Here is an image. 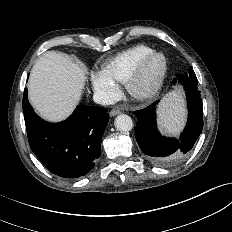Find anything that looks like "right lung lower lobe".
Returning a JSON list of instances; mask_svg holds the SVG:
<instances>
[{
	"mask_svg": "<svg viewBox=\"0 0 232 232\" xmlns=\"http://www.w3.org/2000/svg\"><path fill=\"white\" fill-rule=\"evenodd\" d=\"M23 113L30 148L49 171L79 178L92 170L109 120L105 108L78 106L67 120L48 123L34 112L25 89Z\"/></svg>",
	"mask_w": 232,
	"mask_h": 232,
	"instance_id": "1",
	"label": "right lung lower lobe"
}]
</instances>
